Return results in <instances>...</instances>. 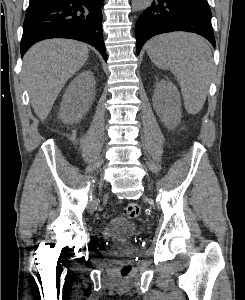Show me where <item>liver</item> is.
Masks as SVG:
<instances>
[{
  "label": "liver",
  "instance_id": "obj_1",
  "mask_svg": "<svg viewBox=\"0 0 245 300\" xmlns=\"http://www.w3.org/2000/svg\"><path fill=\"white\" fill-rule=\"evenodd\" d=\"M87 45L69 39H50L32 46L23 59L22 77L32 108L43 121L65 83L85 64Z\"/></svg>",
  "mask_w": 245,
  "mask_h": 300
}]
</instances>
